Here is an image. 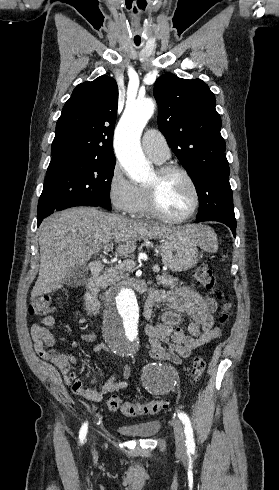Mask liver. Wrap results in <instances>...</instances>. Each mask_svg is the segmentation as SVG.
Returning <instances> with one entry per match:
<instances>
[{
  "label": "liver",
  "instance_id": "1",
  "mask_svg": "<svg viewBox=\"0 0 279 490\" xmlns=\"http://www.w3.org/2000/svg\"><path fill=\"white\" fill-rule=\"evenodd\" d=\"M204 226H154L98 208H69L54 212L38 230L40 270L31 298L60 290L70 268L85 266L94 254L114 240L116 254H133L138 240L166 238L171 232L193 238L197 244Z\"/></svg>",
  "mask_w": 279,
  "mask_h": 490
}]
</instances>
